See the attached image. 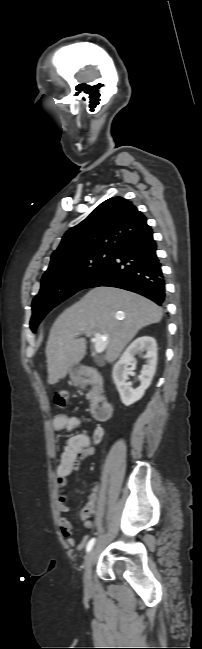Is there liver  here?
I'll return each mask as SVG.
<instances>
[{
    "instance_id": "obj_1",
    "label": "liver",
    "mask_w": 202,
    "mask_h": 649,
    "mask_svg": "<svg viewBox=\"0 0 202 649\" xmlns=\"http://www.w3.org/2000/svg\"><path fill=\"white\" fill-rule=\"evenodd\" d=\"M162 309L151 300L131 291L97 287L65 309L54 322L48 337V383L65 378L69 369L86 353L87 338L98 332L107 337L105 358L112 362L142 327L161 321Z\"/></svg>"
}]
</instances>
